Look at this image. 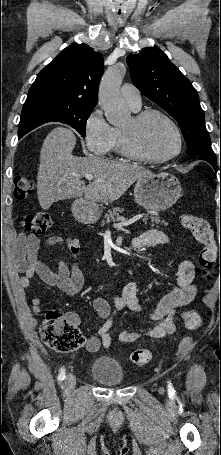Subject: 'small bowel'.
Here are the masks:
<instances>
[{
    "mask_svg": "<svg viewBox=\"0 0 221 455\" xmlns=\"http://www.w3.org/2000/svg\"><path fill=\"white\" fill-rule=\"evenodd\" d=\"M143 246H160L169 243V237L162 231L151 229L134 238ZM66 245L71 257L75 260L80 253V242L76 238L63 239L57 235L49 237L45 247ZM42 251V244L35 234L24 235L16 250L15 263L22 276L19 280L20 286L27 289L34 276H38L47 285L55 286L68 295H76L83 287V274L76 262L69 266L62 258H58L57 270L51 269L39 259ZM195 267L190 260H183L177 270L176 286L164 295L155 308L146 316L151 326L137 331H121L119 340L124 343H133L143 339H160L175 329V317L177 311L191 303L197 294V287L194 283ZM139 284L136 281L128 282L122 289L120 295H110L114 302V309L111 310L106 298L98 296L93 301V306L98 316L104 319L98 329V336L89 337L85 344L88 352H96L103 346L110 348L113 338L110 329L113 325L114 315L122 309L128 308L133 312L142 313L143 305L138 299ZM41 301L38 297L31 299L33 311L41 313ZM70 319L77 324L78 318L74 315Z\"/></svg>",
    "mask_w": 221,
    "mask_h": 455,
    "instance_id": "1",
    "label": "small bowel"
}]
</instances>
